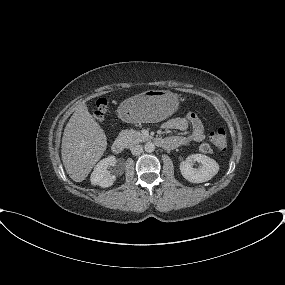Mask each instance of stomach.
Masks as SVG:
<instances>
[{
	"label": "stomach",
	"mask_w": 285,
	"mask_h": 285,
	"mask_svg": "<svg viewBox=\"0 0 285 285\" xmlns=\"http://www.w3.org/2000/svg\"><path fill=\"white\" fill-rule=\"evenodd\" d=\"M179 103L178 95L169 90H147L124 100L118 115L130 123H155L171 116Z\"/></svg>",
	"instance_id": "obj_1"
}]
</instances>
